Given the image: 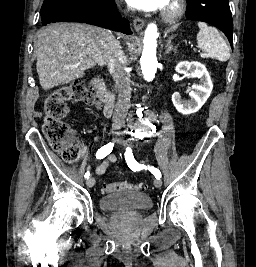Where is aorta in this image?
Listing matches in <instances>:
<instances>
[{
	"instance_id": "1",
	"label": "aorta",
	"mask_w": 256,
	"mask_h": 267,
	"mask_svg": "<svg viewBox=\"0 0 256 267\" xmlns=\"http://www.w3.org/2000/svg\"><path fill=\"white\" fill-rule=\"evenodd\" d=\"M157 38H159L158 28L156 24H148L143 40V52L140 58L141 70L145 80H152L156 76L157 71ZM146 71V72H145ZM136 122H132V127H148V122H156V117H147L148 108H139Z\"/></svg>"
}]
</instances>
